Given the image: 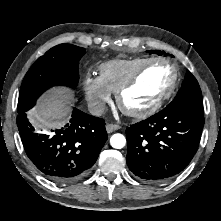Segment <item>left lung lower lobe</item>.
I'll return each mask as SVG.
<instances>
[{
	"instance_id": "left-lung-lower-lobe-1",
	"label": "left lung lower lobe",
	"mask_w": 221,
	"mask_h": 221,
	"mask_svg": "<svg viewBox=\"0 0 221 221\" xmlns=\"http://www.w3.org/2000/svg\"><path fill=\"white\" fill-rule=\"evenodd\" d=\"M204 117L168 105L126 130L127 165L147 182H165L191 162L201 138Z\"/></svg>"
}]
</instances>
